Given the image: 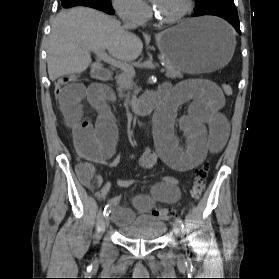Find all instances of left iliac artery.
I'll use <instances>...</instances> for the list:
<instances>
[{
  "label": "left iliac artery",
  "instance_id": "left-iliac-artery-1",
  "mask_svg": "<svg viewBox=\"0 0 279 279\" xmlns=\"http://www.w3.org/2000/svg\"><path fill=\"white\" fill-rule=\"evenodd\" d=\"M176 221L179 223L180 227L183 229L184 228L183 221L180 218H177Z\"/></svg>",
  "mask_w": 279,
  "mask_h": 279
}]
</instances>
